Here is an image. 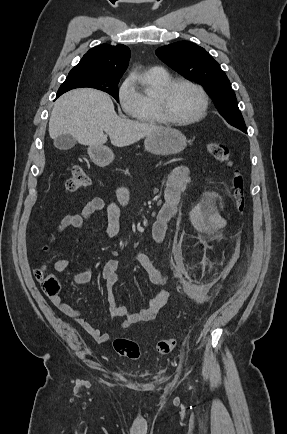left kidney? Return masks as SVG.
Returning a JSON list of instances; mask_svg holds the SVG:
<instances>
[{
	"mask_svg": "<svg viewBox=\"0 0 287 434\" xmlns=\"http://www.w3.org/2000/svg\"><path fill=\"white\" fill-rule=\"evenodd\" d=\"M198 211V208H194L192 212L190 213V218L192 223L194 224L196 222V212Z\"/></svg>",
	"mask_w": 287,
	"mask_h": 434,
	"instance_id": "obj_1",
	"label": "left kidney"
}]
</instances>
